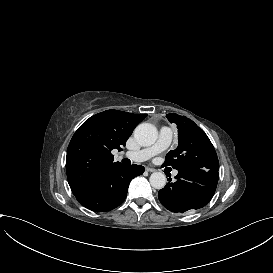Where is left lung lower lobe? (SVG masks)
Returning a JSON list of instances; mask_svg holds the SVG:
<instances>
[{"label": "left lung lower lobe", "instance_id": "obj_1", "mask_svg": "<svg viewBox=\"0 0 273 273\" xmlns=\"http://www.w3.org/2000/svg\"><path fill=\"white\" fill-rule=\"evenodd\" d=\"M158 192L161 204L172 212L184 213L204 207L213 197L219 173L204 169H181L175 177Z\"/></svg>", "mask_w": 273, "mask_h": 273}]
</instances>
